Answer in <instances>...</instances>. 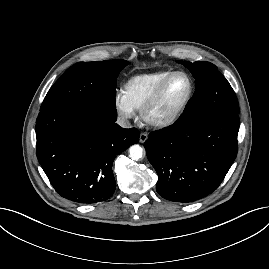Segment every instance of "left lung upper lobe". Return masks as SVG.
Instances as JSON below:
<instances>
[{
	"label": "left lung upper lobe",
	"instance_id": "1",
	"mask_svg": "<svg viewBox=\"0 0 269 269\" xmlns=\"http://www.w3.org/2000/svg\"><path fill=\"white\" fill-rule=\"evenodd\" d=\"M179 63L190 69L196 79V91L178 120L188 122L217 112L239 113L234 90L214 64L206 61Z\"/></svg>",
	"mask_w": 269,
	"mask_h": 269
}]
</instances>
